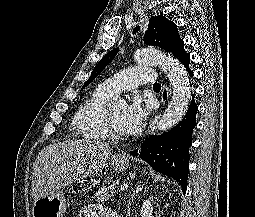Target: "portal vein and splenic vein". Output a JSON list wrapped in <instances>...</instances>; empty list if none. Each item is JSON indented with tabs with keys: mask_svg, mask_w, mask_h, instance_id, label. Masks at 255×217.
<instances>
[{
	"mask_svg": "<svg viewBox=\"0 0 255 217\" xmlns=\"http://www.w3.org/2000/svg\"><path fill=\"white\" fill-rule=\"evenodd\" d=\"M127 188H128V185L124 184L123 186H121L120 191L125 190Z\"/></svg>",
	"mask_w": 255,
	"mask_h": 217,
	"instance_id": "1",
	"label": "portal vein and splenic vein"
}]
</instances>
